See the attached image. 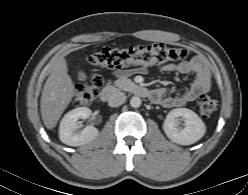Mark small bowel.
Instances as JSON below:
<instances>
[{"label":"small bowel","instance_id":"obj_1","mask_svg":"<svg viewBox=\"0 0 248 195\" xmlns=\"http://www.w3.org/2000/svg\"><path fill=\"white\" fill-rule=\"evenodd\" d=\"M163 71L178 72L180 74H191L194 80L190 87L183 93L176 96H166L164 89L159 88L152 91L151 96L154 101L158 102L165 108H175L186 105L194 101L202 94L209 91L212 85L211 74L205 62L199 58L194 57L190 60L182 61L178 64H169L163 67ZM134 72H144L143 69L137 70H118L113 73L115 77L128 76Z\"/></svg>","mask_w":248,"mask_h":195}]
</instances>
